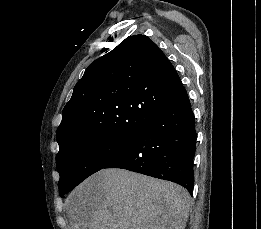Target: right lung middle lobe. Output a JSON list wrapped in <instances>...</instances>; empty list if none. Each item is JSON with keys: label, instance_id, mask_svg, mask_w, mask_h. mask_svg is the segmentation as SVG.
<instances>
[{"label": "right lung middle lobe", "instance_id": "dd1d6c3e", "mask_svg": "<svg viewBox=\"0 0 261 229\" xmlns=\"http://www.w3.org/2000/svg\"><path fill=\"white\" fill-rule=\"evenodd\" d=\"M133 138L85 136L60 146L56 155V166L60 174V196L63 197L84 179L104 168L129 147Z\"/></svg>", "mask_w": 261, "mask_h": 229}]
</instances>
